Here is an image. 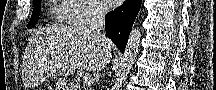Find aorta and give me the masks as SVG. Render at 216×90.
Returning a JSON list of instances; mask_svg holds the SVG:
<instances>
[{
  "instance_id": "1",
  "label": "aorta",
  "mask_w": 216,
  "mask_h": 90,
  "mask_svg": "<svg viewBox=\"0 0 216 90\" xmlns=\"http://www.w3.org/2000/svg\"><path fill=\"white\" fill-rule=\"evenodd\" d=\"M140 38V28L139 26H134L129 34L124 54L117 64L114 90H122L128 78V74L136 60V56H138Z\"/></svg>"
}]
</instances>
